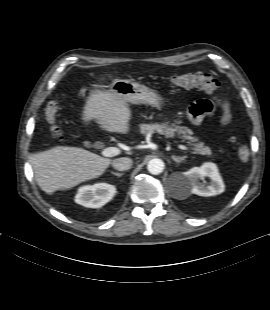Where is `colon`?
Listing matches in <instances>:
<instances>
[{"label": "colon", "instance_id": "1", "mask_svg": "<svg viewBox=\"0 0 270 310\" xmlns=\"http://www.w3.org/2000/svg\"><path fill=\"white\" fill-rule=\"evenodd\" d=\"M170 83L178 88H200L208 94L217 95L220 90L219 81L212 75L203 72H189L174 75L170 78ZM200 114L207 115L213 110V104L209 100H198L193 104ZM60 105L58 101H51L45 109V120L50 126L51 134L54 138H62V132L56 122V116ZM237 147V154L242 162L248 161L250 157L249 138L245 133H239L234 137Z\"/></svg>", "mask_w": 270, "mask_h": 310}]
</instances>
